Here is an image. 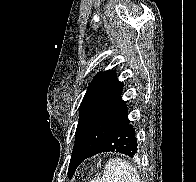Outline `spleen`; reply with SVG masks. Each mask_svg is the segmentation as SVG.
Returning <instances> with one entry per match:
<instances>
[{
  "mask_svg": "<svg viewBox=\"0 0 196 182\" xmlns=\"http://www.w3.org/2000/svg\"><path fill=\"white\" fill-rule=\"evenodd\" d=\"M90 182H141L135 168L121 158L110 159L101 178Z\"/></svg>",
  "mask_w": 196,
  "mask_h": 182,
  "instance_id": "obj_1",
  "label": "spleen"
}]
</instances>
